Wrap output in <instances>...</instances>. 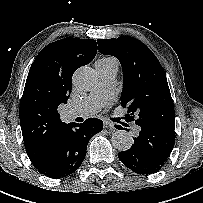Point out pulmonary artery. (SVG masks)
I'll return each mask as SVG.
<instances>
[{"label":"pulmonary artery","instance_id":"e3ab8cb5","mask_svg":"<svg viewBox=\"0 0 203 203\" xmlns=\"http://www.w3.org/2000/svg\"><path fill=\"white\" fill-rule=\"evenodd\" d=\"M96 69L100 76L98 87L93 90L84 100L71 105L66 111L68 119H74L79 116H90L98 112L111 94L114 86L117 71L112 68L96 64ZM138 131V128H135Z\"/></svg>","mask_w":203,"mask_h":203}]
</instances>
